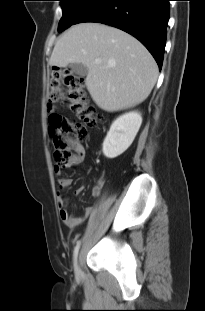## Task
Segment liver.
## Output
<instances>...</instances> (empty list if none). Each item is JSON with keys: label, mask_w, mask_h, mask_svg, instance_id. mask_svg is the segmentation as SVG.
<instances>
[{"label": "liver", "mask_w": 205, "mask_h": 311, "mask_svg": "<svg viewBox=\"0 0 205 311\" xmlns=\"http://www.w3.org/2000/svg\"><path fill=\"white\" fill-rule=\"evenodd\" d=\"M100 59V63H95ZM81 63L88 69L85 84L103 110L119 111L143 102L158 77L157 64L133 36L96 22L72 26L56 42L51 66Z\"/></svg>", "instance_id": "obj_1"}]
</instances>
